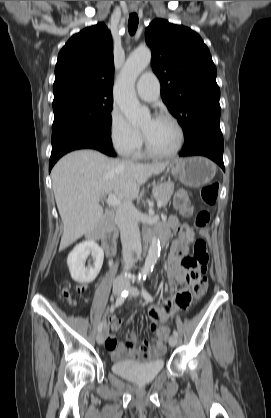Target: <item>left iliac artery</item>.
Listing matches in <instances>:
<instances>
[{
  "instance_id": "left-iliac-artery-1",
  "label": "left iliac artery",
  "mask_w": 271,
  "mask_h": 418,
  "mask_svg": "<svg viewBox=\"0 0 271 418\" xmlns=\"http://www.w3.org/2000/svg\"><path fill=\"white\" fill-rule=\"evenodd\" d=\"M142 295H143V297H144V299L147 301V302H153V297L151 296V294L143 287V285H142ZM173 335L175 336V337H178V332L176 331V330H173Z\"/></svg>"
}]
</instances>
